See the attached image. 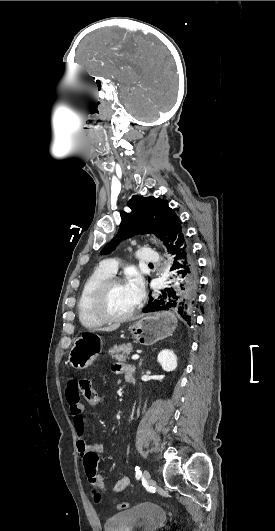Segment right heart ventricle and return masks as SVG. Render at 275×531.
<instances>
[{"mask_svg": "<svg viewBox=\"0 0 275 531\" xmlns=\"http://www.w3.org/2000/svg\"><path fill=\"white\" fill-rule=\"evenodd\" d=\"M112 274L104 270L94 272L84 283L77 303L78 317L83 326L86 328H96L101 326L104 321L94 316L90 310V298L97 286Z\"/></svg>", "mask_w": 275, "mask_h": 531, "instance_id": "e07e8e85", "label": "right heart ventricle"}]
</instances>
